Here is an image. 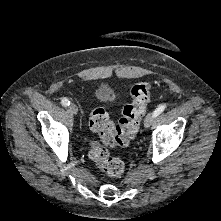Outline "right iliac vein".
<instances>
[{
	"mask_svg": "<svg viewBox=\"0 0 221 221\" xmlns=\"http://www.w3.org/2000/svg\"><path fill=\"white\" fill-rule=\"evenodd\" d=\"M69 110H70V112L73 113V114H77V113H78V107H77V105L74 104V103L70 104Z\"/></svg>",
	"mask_w": 221,
	"mask_h": 221,
	"instance_id": "63e3f726",
	"label": "right iliac vein"
}]
</instances>
